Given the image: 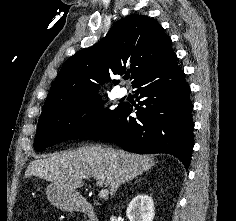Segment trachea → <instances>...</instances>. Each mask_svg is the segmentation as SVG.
<instances>
[{
  "label": "trachea",
  "instance_id": "1",
  "mask_svg": "<svg viewBox=\"0 0 236 221\" xmlns=\"http://www.w3.org/2000/svg\"><path fill=\"white\" fill-rule=\"evenodd\" d=\"M130 76H125L124 79H129Z\"/></svg>",
  "mask_w": 236,
  "mask_h": 221
}]
</instances>
